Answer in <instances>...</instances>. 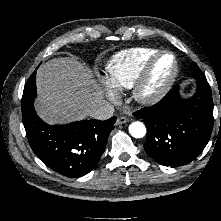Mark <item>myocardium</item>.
Listing matches in <instances>:
<instances>
[{
    "label": "myocardium",
    "instance_id": "obj_1",
    "mask_svg": "<svg viewBox=\"0 0 221 221\" xmlns=\"http://www.w3.org/2000/svg\"><path fill=\"white\" fill-rule=\"evenodd\" d=\"M169 55L173 59V70L168 79L155 89H149L148 85L157 62ZM179 74V63L176 55L169 50H161L154 54L145 64L132 86V96L140 104L150 105L161 100L172 88Z\"/></svg>",
    "mask_w": 221,
    "mask_h": 221
}]
</instances>
